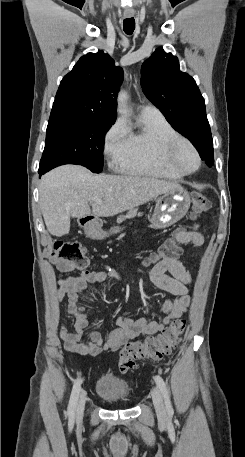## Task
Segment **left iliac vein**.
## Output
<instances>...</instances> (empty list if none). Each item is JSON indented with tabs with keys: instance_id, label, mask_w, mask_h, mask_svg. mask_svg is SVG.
Masks as SVG:
<instances>
[{
	"instance_id": "4c4485c4",
	"label": "left iliac vein",
	"mask_w": 245,
	"mask_h": 457,
	"mask_svg": "<svg viewBox=\"0 0 245 457\" xmlns=\"http://www.w3.org/2000/svg\"><path fill=\"white\" fill-rule=\"evenodd\" d=\"M152 400H153L155 410H156V413H157L159 419L164 420L166 418L165 406H164L163 398L156 387H154L153 392H152Z\"/></svg>"
}]
</instances>
